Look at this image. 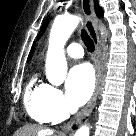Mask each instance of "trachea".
Here are the masks:
<instances>
[{
  "label": "trachea",
  "mask_w": 136,
  "mask_h": 136,
  "mask_svg": "<svg viewBox=\"0 0 136 136\" xmlns=\"http://www.w3.org/2000/svg\"><path fill=\"white\" fill-rule=\"evenodd\" d=\"M81 37H82V40L84 41L87 49L90 52H93L95 49L94 43H93L92 39L89 37L88 33L84 29L81 32Z\"/></svg>",
  "instance_id": "3493384b"
}]
</instances>
